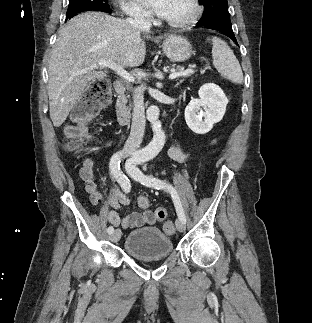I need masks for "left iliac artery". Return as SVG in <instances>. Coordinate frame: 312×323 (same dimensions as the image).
<instances>
[{"mask_svg":"<svg viewBox=\"0 0 312 323\" xmlns=\"http://www.w3.org/2000/svg\"><path fill=\"white\" fill-rule=\"evenodd\" d=\"M135 161H136V164H140V163H144L146 161V159L145 158H138ZM128 172L132 178L141 182L143 185H146L147 187H154L156 189H164V190L168 191L171 194V197L173 199L178 217L184 223H186V216H185L184 210L182 208L179 195L173 186H171L169 183H166L165 181H163L159 178H156L153 176H147V175L143 174L136 167L128 169Z\"/></svg>","mask_w":312,"mask_h":323,"instance_id":"left-iliac-artery-1","label":"left iliac artery"}]
</instances>
